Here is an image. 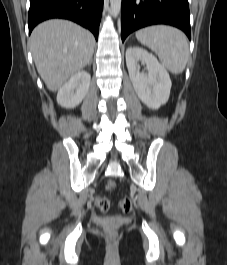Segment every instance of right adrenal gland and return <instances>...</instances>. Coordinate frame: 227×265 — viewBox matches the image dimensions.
Listing matches in <instances>:
<instances>
[{"label": "right adrenal gland", "mask_w": 227, "mask_h": 265, "mask_svg": "<svg viewBox=\"0 0 227 265\" xmlns=\"http://www.w3.org/2000/svg\"><path fill=\"white\" fill-rule=\"evenodd\" d=\"M91 64V61L88 63V65H90Z\"/></svg>", "instance_id": "right-adrenal-gland-1"}]
</instances>
